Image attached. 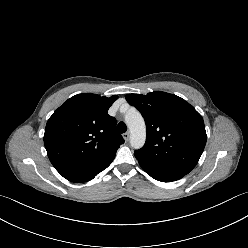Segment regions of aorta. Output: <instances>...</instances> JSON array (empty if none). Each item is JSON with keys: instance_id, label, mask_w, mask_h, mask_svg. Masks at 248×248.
I'll list each match as a JSON object with an SVG mask.
<instances>
[{"instance_id": "aorta-1", "label": "aorta", "mask_w": 248, "mask_h": 248, "mask_svg": "<svg viewBox=\"0 0 248 248\" xmlns=\"http://www.w3.org/2000/svg\"><path fill=\"white\" fill-rule=\"evenodd\" d=\"M125 122L130 130V144L133 148H141L146 140V126L141 114L136 111H130L125 116Z\"/></svg>"}]
</instances>
